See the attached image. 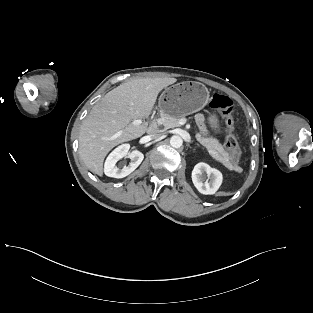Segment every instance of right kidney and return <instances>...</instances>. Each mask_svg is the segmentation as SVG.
<instances>
[{"label":"right kidney","instance_id":"1","mask_svg":"<svg viewBox=\"0 0 313 313\" xmlns=\"http://www.w3.org/2000/svg\"><path fill=\"white\" fill-rule=\"evenodd\" d=\"M129 148V144H122L109 154L104 165L105 175L113 178H124L141 164L144 159L143 153L138 150L128 153ZM126 156L131 159L129 165L117 167L116 163Z\"/></svg>","mask_w":313,"mask_h":313}]
</instances>
